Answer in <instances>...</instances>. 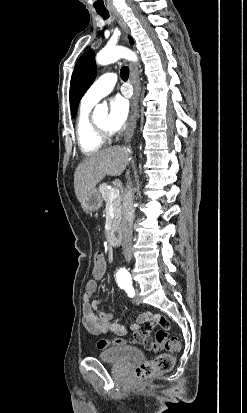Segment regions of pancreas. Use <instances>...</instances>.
Returning <instances> with one entry per match:
<instances>
[{"label": "pancreas", "mask_w": 247, "mask_h": 413, "mask_svg": "<svg viewBox=\"0 0 247 413\" xmlns=\"http://www.w3.org/2000/svg\"><path fill=\"white\" fill-rule=\"evenodd\" d=\"M109 184L107 182H103V184H100V192L102 194L103 200L105 202H110V194H109V188H107ZM121 198L122 196H117V198H114L112 204H113V211H114V219H113V227H116V225H119L120 219H121Z\"/></svg>", "instance_id": "obj_1"}]
</instances>
